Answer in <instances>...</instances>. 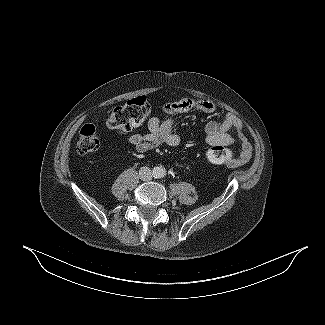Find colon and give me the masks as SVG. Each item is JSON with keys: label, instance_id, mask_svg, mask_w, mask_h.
<instances>
[{"label": "colon", "instance_id": "obj_1", "mask_svg": "<svg viewBox=\"0 0 325 325\" xmlns=\"http://www.w3.org/2000/svg\"><path fill=\"white\" fill-rule=\"evenodd\" d=\"M155 110L149 101L139 96L121 105L116 106L107 121V126L113 130L124 133L137 127L154 116ZM99 147L97 126L94 122L85 124L78 136L76 150L79 154L85 155L96 151ZM206 160L214 165L233 164L232 151L223 145H216L209 148L205 154Z\"/></svg>", "mask_w": 325, "mask_h": 325}]
</instances>
